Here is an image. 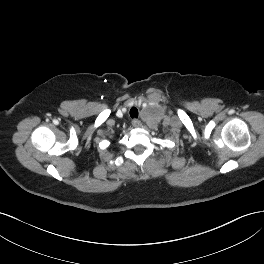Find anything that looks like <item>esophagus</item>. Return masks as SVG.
Returning a JSON list of instances; mask_svg holds the SVG:
<instances>
[{
  "label": "esophagus",
  "instance_id": "esophagus-1",
  "mask_svg": "<svg viewBox=\"0 0 264 264\" xmlns=\"http://www.w3.org/2000/svg\"><path fill=\"white\" fill-rule=\"evenodd\" d=\"M132 125H133L134 127H136V128H139V127H141L142 123H141L140 120H138V119H134V120L132 121Z\"/></svg>",
  "mask_w": 264,
  "mask_h": 264
}]
</instances>
